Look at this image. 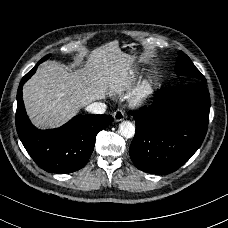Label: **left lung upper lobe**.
Segmentation results:
<instances>
[{
  "label": "left lung upper lobe",
  "instance_id": "left-lung-upper-lobe-1",
  "mask_svg": "<svg viewBox=\"0 0 228 228\" xmlns=\"http://www.w3.org/2000/svg\"><path fill=\"white\" fill-rule=\"evenodd\" d=\"M175 73L177 75L190 77L192 82L204 83L206 81L205 77L195 67L190 58L182 51H179V56L175 66Z\"/></svg>",
  "mask_w": 228,
  "mask_h": 228
}]
</instances>
